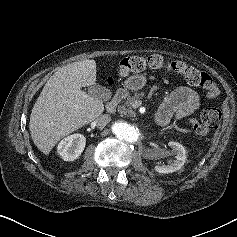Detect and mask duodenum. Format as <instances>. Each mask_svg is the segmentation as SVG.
Masks as SVG:
<instances>
[{"instance_id":"1","label":"duodenum","mask_w":237,"mask_h":237,"mask_svg":"<svg viewBox=\"0 0 237 237\" xmlns=\"http://www.w3.org/2000/svg\"><path fill=\"white\" fill-rule=\"evenodd\" d=\"M121 98H122V92L119 91V92H117V93L112 97V99L109 101V103H108V108H109L110 110L115 109L116 106H117V104L120 102Z\"/></svg>"}]
</instances>
